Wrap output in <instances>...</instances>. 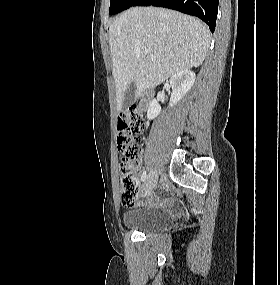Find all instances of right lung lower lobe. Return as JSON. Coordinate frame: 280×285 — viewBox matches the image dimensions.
Here are the masks:
<instances>
[{
    "mask_svg": "<svg viewBox=\"0 0 280 285\" xmlns=\"http://www.w3.org/2000/svg\"><path fill=\"white\" fill-rule=\"evenodd\" d=\"M219 0H138L133 6H159L183 13L194 15L202 19L213 33L218 12Z\"/></svg>",
    "mask_w": 280,
    "mask_h": 285,
    "instance_id": "1",
    "label": "right lung lower lobe"
}]
</instances>
